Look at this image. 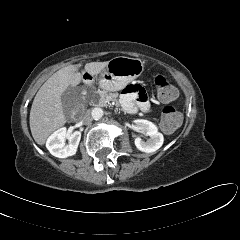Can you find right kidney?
Instances as JSON below:
<instances>
[{"mask_svg": "<svg viewBox=\"0 0 240 240\" xmlns=\"http://www.w3.org/2000/svg\"><path fill=\"white\" fill-rule=\"evenodd\" d=\"M66 138L69 141L67 145H65ZM80 139L79 131L70 133L65 127H62L51 134L47 139L46 147L53 156L67 158L76 153Z\"/></svg>", "mask_w": 240, "mask_h": 240, "instance_id": "1", "label": "right kidney"}]
</instances>
